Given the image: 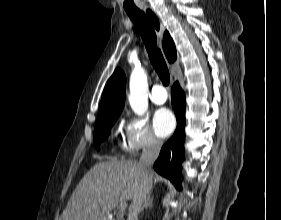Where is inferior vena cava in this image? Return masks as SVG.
<instances>
[{
  "label": "inferior vena cava",
  "mask_w": 281,
  "mask_h": 220,
  "mask_svg": "<svg viewBox=\"0 0 281 220\" xmlns=\"http://www.w3.org/2000/svg\"><path fill=\"white\" fill-rule=\"evenodd\" d=\"M161 146V141L158 139H151L140 157L139 165L143 170V179L138 191L133 196L127 220H138V214L140 213L142 205L147 199L152 186V165L159 155Z\"/></svg>",
  "instance_id": "obj_1"
}]
</instances>
